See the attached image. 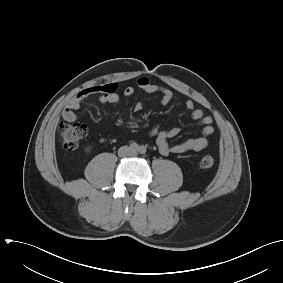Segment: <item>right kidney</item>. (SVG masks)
<instances>
[{
    "label": "right kidney",
    "instance_id": "right-kidney-1",
    "mask_svg": "<svg viewBox=\"0 0 283 283\" xmlns=\"http://www.w3.org/2000/svg\"><path fill=\"white\" fill-rule=\"evenodd\" d=\"M90 150V148H87V151H89Z\"/></svg>",
    "mask_w": 283,
    "mask_h": 283
}]
</instances>
